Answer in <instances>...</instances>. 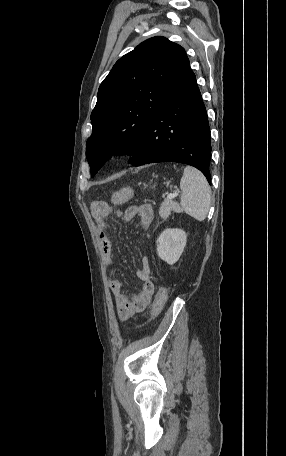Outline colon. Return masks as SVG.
I'll use <instances>...</instances> for the list:
<instances>
[{
  "mask_svg": "<svg viewBox=\"0 0 286 456\" xmlns=\"http://www.w3.org/2000/svg\"><path fill=\"white\" fill-rule=\"evenodd\" d=\"M134 195V190L132 188H124L115 192L112 196L111 202L98 201L93 203V209L95 211H106L109 209L111 204H122ZM168 298V290L164 287L160 288L156 294L152 309H151V318L156 317L161 310L163 309Z\"/></svg>",
  "mask_w": 286,
  "mask_h": 456,
  "instance_id": "colon-1",
  "label": "colon"
}]
</instances>
